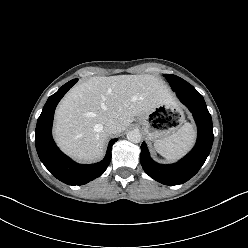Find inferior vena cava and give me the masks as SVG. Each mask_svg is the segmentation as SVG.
<instances>
[{
  "label": "inferior vena cava",
  "mask_w": 248,
  "mask_h": 248,
  "mask_svg": "<svg viewBox=\"0 0 248 248\" xmlns=\"http://www.w3.org/2000/svg\"><path fill=\"white\" fill-rule=\"evenodd\" d=\"M104 130L108 135L119 133V124L116 120L110 119L104 126Z\"/></svg>",
  "instance_id": "1"
}]
</instances>
